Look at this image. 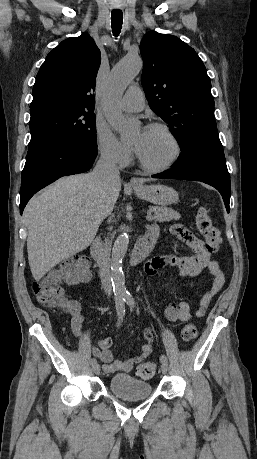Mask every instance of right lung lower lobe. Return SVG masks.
Instances as JSON below:
<instances>
[{"instance_id": "98d812e1", "label": "right lung lower lobe", "mask_w": 257, "mask_h": 459, "mask_svg": "<svg viewBox=\"0 0 257 459\" xmlns=\"http://www.w3.org/2000/svg\"><path fill=\"white\" fill-rule=\"evenodd\" d=\"M97 154V148L66 140H31L21 178V214L36 192L62 176L89 170Z\"/></svg>"}]
</instances>
